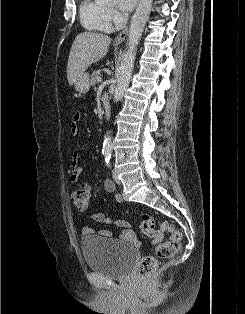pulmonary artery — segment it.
<instances>
[{"mask_svg":"<svg viewBox=\"0 0 245 314\" xmlns=\"http://www.w3.org/2000/svg\"><path fill=\"white\" fill-rule=\"evenodd\" d=\"M111 31H113V29H110L108 32H111Z\"/></svg>","mask_w":245,"mask_h":314,"instance_id":"1","label":"pulmonary artery"}]
</instances>
